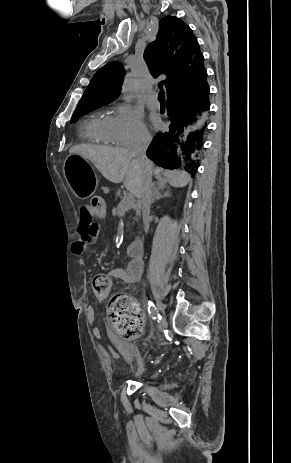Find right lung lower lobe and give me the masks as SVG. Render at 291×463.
<instances>
[{
  "label": "right lung lower lobe",
  "mask_w": 291,
  "mask_h": 463,
  "mask_svg": "<svg viewBox=\"0 0 291 463\" xmlns=\"http://www.w3.org/2000/svg\"><path fill=\"white\" fill-rule=\"evenodd\" d=\"M207 72L197 90L174 94L167 99L169 129L157 134L147 149V156L158 166L184 168L192 176L199 165L210 109Z\"/></svg>",
  "instance_id": "obj_1"
}]
</instances>
